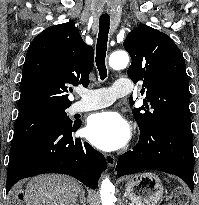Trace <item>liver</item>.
<instances>
[{
  "instance_id": "6515ba94",
  "label": "liver",
  "mask_w": 199,
  "mask_h": 205,
  "mask_svg": "<svg viewBox=\"0 0 199 205\" xmlns=\"http://www.w3.org/2000/svg\"><path fill=\"white\" fill-rule=\"evenodd\" d=\"M81 187L64 175H40L32 178L25 189L26 205H76Z\"/></svg>"
}]
</instances>
